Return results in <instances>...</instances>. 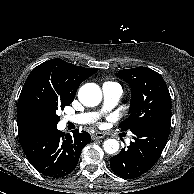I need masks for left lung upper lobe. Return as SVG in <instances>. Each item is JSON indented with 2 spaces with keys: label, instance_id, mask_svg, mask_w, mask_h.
Segmentation results:
<instances>
[{
  "label": "left lung upper lobe",
  "instance_id": "1",
  "mask_svg": "<svg viewBox=\"0 0 194 194\" xmlns=\"http://www.w3.org/2000/svg\"><path fill=\"white\" fill-rule=\"evenodd\" d=\"M132 91L130 116L119 127L130 130L140 125L161 126L171 122V98L162 76L147 67L118 72Z\"/></svg>",
  "mask_w": 194,
  "mask_h": 194
}]
</instances>
